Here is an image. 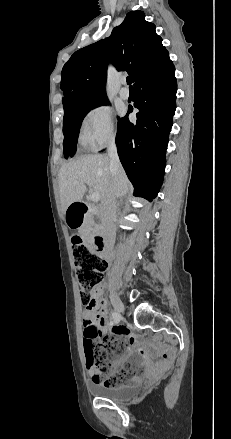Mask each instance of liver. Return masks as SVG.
<instances>
[{"mask_svg":"<svg viewBox=\"0 0 231 439\" xmlns=\"http://www.w3.org/2000/svg\"><path fill=\"white\" fill-rule=\"evenodd\" d=\"M86 185L99 194L101 202L112 188L117 197L124 196L130 189V182L120 167L115 174L110 170V158L104 155H85L64 164L59 172V191L63 211L74 202H80Z\"/></svg>","mask_w":231,"mask_h":439,"instance_id":"liver-1","label":"liver"}]
</instances>
